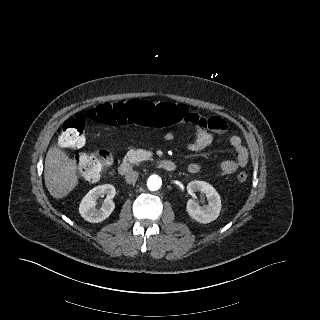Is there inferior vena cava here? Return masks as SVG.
Segmentation results:
<instances>
[{"mask_svg":"<svg viewBox=\"0 0 320 320\" xmlns=\"http://www.w3.org/2000/svg\"><path fill=\"white\" fill-rule=\"evenodd\" d=\"M139 173L136 171H129L125 176V181L129 184L135 183L138 179Z\"/></svg>","mask_w":320,"mask_h":320,"instance_id":"602c4592","label":"inferior vena cava"}]
</instances>
